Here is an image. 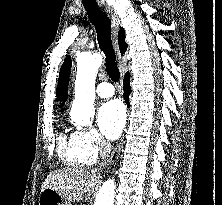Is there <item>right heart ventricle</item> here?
<instances>
[{
  "label": "right heart ventricle",
  "mask_w": 222,
  "mask_h": 205,
  "mask_svg": "<svg viewBox=\"0 0 222 205\" xmlns=\"http://www.w3.org/2000/svg\"><path fill=\"white\" fill-rule=\"evenodd\" d=\"M58 156L68 166H80L87 164L84 156L77 147L73 134H60L58 139Z\"/></svg>",
  "instance_id": "obj_1"
}]
</instances>
